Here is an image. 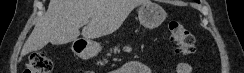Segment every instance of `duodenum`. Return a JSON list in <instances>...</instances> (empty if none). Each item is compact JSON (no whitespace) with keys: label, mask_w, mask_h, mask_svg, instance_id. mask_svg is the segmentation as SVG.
I'll return each mask as SVG.
<instances>
[{"label":"duodenum","mask_w":244,"mask_h":73,"mask_svg":"<svg viewBox=\"0 0 244 73\" xmlns=\"http://www.w3.org/2000/svg\"><path fill=\"white\" fill-rule=\"evenodd\" d=\"M74 50L78 53V54H84L87 52V48L86 46L81 43V42H77L74 46Z\"/></svg>","instance_id":"410a0bca"}]
</instances>
